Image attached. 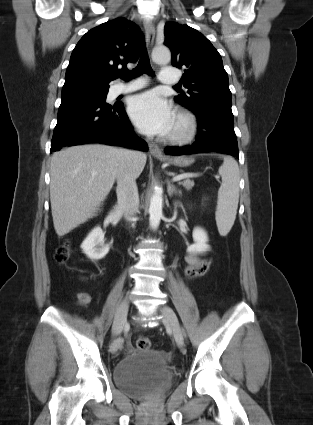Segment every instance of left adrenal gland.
Listing matches in <instances>:
<instances>
[{
    "label": "left adrenal gland",
    "mask_w": 313,
    "mask_h": 425,
    "mask_svg": "<svg viewBox=\"0 0 313 425\" xmlns=\"http://www.w3.org/2000/svg\"><path fill=\"white\" fill-rule=\"evenodd\" d=\"M167 192L169 197H171L173 194L177 195L181 193V191L178 190L173 184H171L169 180L167 181Z\"/></svg>",
    "instance_id": "1"
}]
</instances>
